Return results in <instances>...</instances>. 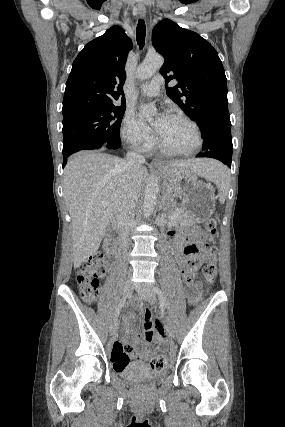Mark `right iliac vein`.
I'll use <instances>...</instances> for the list:
<instances>
[{"mask_svg":"<svg viewBox=\"0 0 285 427\" xmlns=\"http://www.w3.org/2000/svg\"><path fill=\"white\" fill-rule=\"evenodd\" d=\"M131 292H132V286H131V284H130V282L129 281H126V283H125V285H124V289H123V293H124V295L125 296H129L130 294H131ZM117 328H118V324H117V318H115L113 321H112V323H111V325H110V334L112 335V336H115L116 335V333H117Z\"/></svg>","mask_w":285,"mask_h":427,"instance_id":"63e3f726","label":"right iliac vein"}]
</instances>
